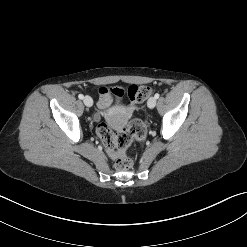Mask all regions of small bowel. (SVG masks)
<instances>
[{
	"mask_svg": "<svg viewBox=\"0 0 247 247\" xmlns=\"http://www.w3.org/2000/svg\"><path fill=\"white\" fill-rule=\"evenodd\" d=\"M99 93H100V95L98 98V107L100 109H104V108L109 106V104L111 102V96H110L108 90L105 88H101Z\"/></svg>",
	"mask_w": 247,
	"mask_h": 247,
	"instance_id": "obj_1",
	"label": "small bowel"
}]
</instances>
